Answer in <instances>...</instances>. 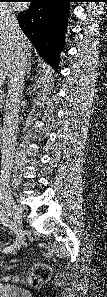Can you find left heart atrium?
<instances>
[{
	"instance_id": "obj_1",
	"label": "left heart atrium",
	"mask_w": 107,
	"mask_h": 297,
	"mask_svg": "<svg viewBox=\"0 0 107 297\" xmlns=\"http://www.w3.org/2000/svg\"><path fill=\"white\" fill-rule=\"evenodd\" d=\"M16 7H17V8H21V5H20V4H17Z\"/></svg>"
}]
</instances>
